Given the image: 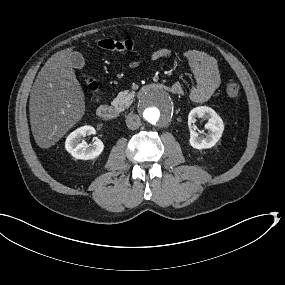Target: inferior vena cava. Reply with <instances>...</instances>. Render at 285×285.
<instances>
[{
	"label": "inferior vena cava",
	"instance_id": "1",
	"mask_svg": "<svg viewBox=\"0 0 285 285\" xmlns=\"http://www.w3.org/2000/svg\"><path fill=\"white\" fill-rule=\"evenodd\" d=\"M126 125L131 130L138 129L141 125L140 117L136 114H128L126 117Z\"/></svg>",
	"mask_w": 285,
	"mask_h": 285
}]
</instances>
